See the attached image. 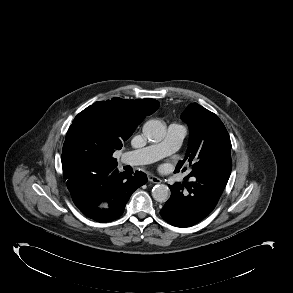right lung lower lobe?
<instances>
[{
  "mask_svg": "<svg viewBox=\"0 0 293 293\" xmlns=\"http://www.w3.org/2000/svg\"><path fill=\"white\" fill-rule=\"evenodd\" d=\"M114 167H95L78 179L69 191L75 205L97 222H109L124 211L131 194L147 182V176L119 173Z\"/></svg>",
  "mask_w": 293,
  "mask_h": 293,
  "instance_id": "1",
  "label": "right lung lower lobe"
}]
</instances>
